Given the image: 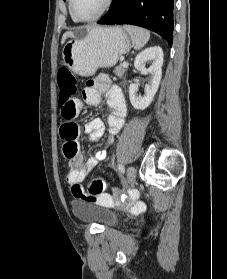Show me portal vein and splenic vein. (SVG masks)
Returning <instances> with one entry per match:
<instances>
[{
	"label": "portal vein and splenic vein",
	"mask_w": 227,
	"mask_h": 279,
	"mask_svg": "<svg viewBox=\"0 0 227 279\" xmlns=\"http://www.w3.org/2000/svg\"><path fill=\"white\" fill-rule=\"evenodd\" d=\"M122 66H123V67H128V62L124 61V62L122 63Z\"/></svg>",
	"instance_id": "portal-vein-and-splenic-vein-1"
}]
</instances>
